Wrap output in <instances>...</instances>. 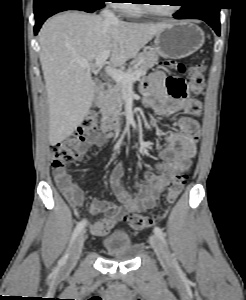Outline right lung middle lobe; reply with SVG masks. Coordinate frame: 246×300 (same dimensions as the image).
Here are the masks:
<instances>
[{
	"label": "right lung middle lobe",
	"mask_w": 246,
	"mask_h": 300,
	"mask_svg": "<svg viewBox=\"0 0 246 300\" xmlns=\"http://www.w3.org/2000/svg\"><path fill=\"white\" fill-rule=\"evenodd\" d=\"M40 0H34V3H37V2H39ZM95 2H96V4H98V5H100V6H104V4H103V0H94Z\"/></svg>",
	"instance_id": "right-lung-middle-lobe-1"
}]
</instances>
